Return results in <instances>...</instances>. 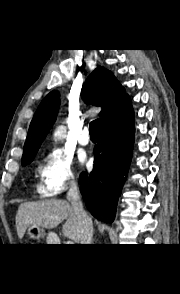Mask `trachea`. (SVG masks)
<instances>
[{
    "instance_id": "trachea-1",
    "label": "trachea",
    "mask_w": 180,
    "mask_h": 294,
    "mask_svg": "<svg viewBox=\"0 0 180 294\" xmlns=\"http://www.w3.org/2000/svg\"><path fill=\"white\" fill-rule=\"evenodd\" d=\"M98 125H99L98 119H96L90 123V127H89L90 136H97L98 135Z\"/></svg>"
}]
</instances>
